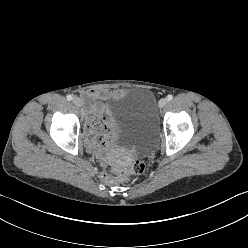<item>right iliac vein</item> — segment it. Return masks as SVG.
<instances>
[{
	"instance_id": "right-iliac-vein-1",
	"label": "right iliac vein",
	"mask_w": 248,
	"mask_h": 248,
	"mask_svg": "<svg viewBox=\"0 0 248 248\" xmlns=\"http://www.w3.org/2000/svg\"><path fill=\"white\" fill-rule=\"evenodd\" d=\"M73 103H74V105H76V106H78V107H80V106L82 105V101H81V99L78 98V97H75V98L73 99Z\"/></svg>"
}]
</instances>
